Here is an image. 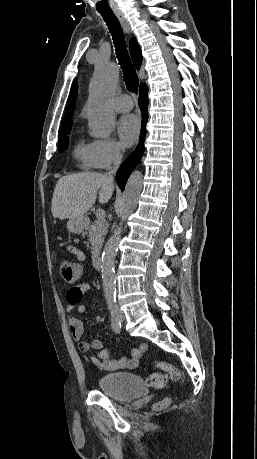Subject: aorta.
<instances>
[{
  "label": "aorta",
  "instance_id": "1",
  "mask_svg": "<svg viewBox=\"0 0 257 459\" xmlns=\"http://www.w3.org/2000/svg\"><path fill=\"white\" fill-rule=\"evenodd\" d=\"M119 69L110 62L96 66L90 83V100L87 120L92 136L108 139L115 126V117L109 102L115 94ZM143 176L134 171L127 180L122 200L121 221L108 239L102 253V285L107 299L113 300L116 294L114 261L123 232V223L136 208L142 190Z\"/></svg>",
  "mask_w": 257,
  "mask_h": 459
}]
</instances>
